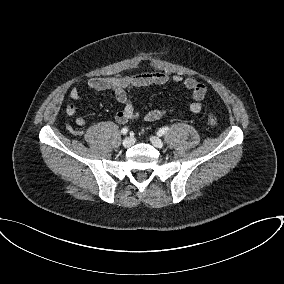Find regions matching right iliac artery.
Segmentation results:
<instances>
[{"instance_id": "right-iliac-artery-1", "label": "right iliac artery", "mask_w": 284, "mask_h": 284, "mask_svg": "<svg viewBox=\"0 0 284 284\" xmlns=\"http://www.w3.org/2000/svg\"><path fill=\"white\" fill-rule=\"evenodd\" d=\"M121 133H122V134H127V133H128V128L124 127V128L121 130Z\"/></svg>"}]
</instances>
